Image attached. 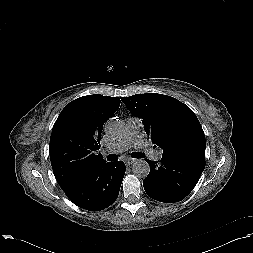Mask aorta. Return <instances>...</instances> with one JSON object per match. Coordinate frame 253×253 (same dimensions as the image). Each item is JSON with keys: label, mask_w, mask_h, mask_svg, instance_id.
I'll return each mask as SVG.
<instances>
[{"label": "aorta", "mask_w": 253, "mask_h": 253, "mask_svg": "<svg viewBox=\"0 0 253 253\" xmlns=\"http://www.w3.org/2000/svg\"><path fill=\"white\" fill-rule=\"evenodd\" d=\"M125 125L120 120H109L104 126V130L111 136H117L123 132ZM132 172L138 178H145L150 172L149 164L143 160L138 159L132 165Z\"/></svg>", "instance_id": "aorta-1"}]
</instances>
